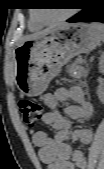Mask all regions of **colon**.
<instances>
[{"mask_svg":"<svg viewBox=\"0 0 104 169\" xmlns=\"http://www.w3.org/2000/svg\"><path fill=\"white\" fill-rule=\"evenodd\" d=\"M18 109L23 122L30 128H33L43 115L42 105L29 99L20 100L18 103Z\"/></svg>","mask_w":104,"mask_h":169,"instance_id":"5ec220e1","label":"colon"}]
</instances>
